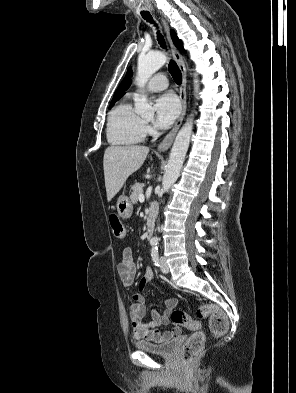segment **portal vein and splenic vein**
Here are the masks:
<instances>
[{
    "label": "portal vein and splenic vein",
    "instance_id": "obj_1",
    "mask_svg": "<svg viewBox=\"0 0 296 393\" xmlns=\"http://www.w3.org/2000/svg\"><path fill=\"white\" fill-rule=\"evenodd\" d=\"M144 199H145V198H144V195H143V194H140V195H139V200H140V202H143Z\"/></svg>",
    "mask_w": 296,
    "mask_h": 393
}]
</instances>
